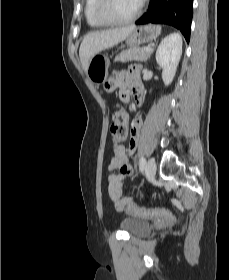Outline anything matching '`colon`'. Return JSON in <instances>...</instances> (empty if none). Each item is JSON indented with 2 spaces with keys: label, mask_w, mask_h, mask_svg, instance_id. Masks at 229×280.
<instances>
[{
  "label": "colon",
  "mask_w": 229,
  "mask_h": 280,
  "mask_svg": "<svg viewBox=\"0 0 229 280\" xmlns=\"http://www.w3.org/2000/svg\"><path fill=\"white\" fill-rule=\"evenodd\" d=\"M127 122L128 116L124 111H118L113 117V123L110 127L111 132V141L113 144H118L121 142L127 135ZM116 207L121 209H128L133 215L148 218V217H159L166 216L169 214L167 209L161 208H144L134 205L128 199H122L116 201Z\"/></svg>",
  "instance_id": "colon-1"
}]
</instances>
